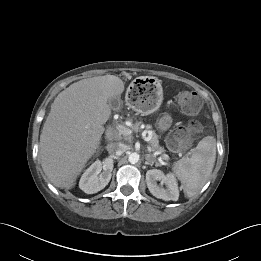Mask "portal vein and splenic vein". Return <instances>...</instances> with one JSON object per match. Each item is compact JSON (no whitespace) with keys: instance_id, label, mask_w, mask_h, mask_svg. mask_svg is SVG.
I'll return each mask as SVG.
<instances>
[{"instance_id":"portal-vein-and-splenic-vein-1","label":"portal vein and splenic vein","mask_w":261,"mask_h":261,"mask_svg":"<svg viewBox=\"0 0 261 261\" xmlns=\"http://www.w3.org/2000/svg\"><path fill=\"white\" fill-rule=\"evenodd\" d=\"M116 128L118 129L119 133L122 134V135H124V136H129V135H131V130H130L129 128L123 126V125H118ZM145 141L149 142V141H150V138H149V137H146V138H145ZM148 150H149V151H152V148L149 146V147H148ZM158 154H160V153H158V152H155V153H154V155H158ZM166 157H168V155H166Z\"/></svg>"}]
</instances>
